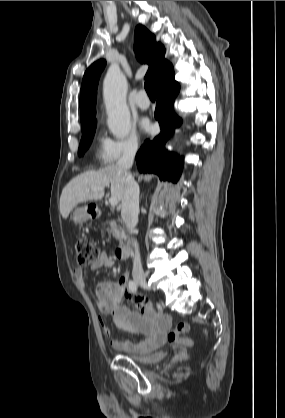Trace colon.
<instances>
[{"mask_svg": "<svg viewBox=\"0 0 285 418\" xmlns=\"http://www.w3.org/2000/svg\"><path fill=\"white\" fill-rule=\"evenodd\" d=\"M76 259L80 266H86L93 263L98 258V252L93 243L86 237L78 238L74 244ZM189 331V324L180 321L167 333L166 339L170 343L188 345L189 340L182 336Z\"/></svg>", "mask_w": 285, "mask_h": 418, "instance_id": "colon-1", "label": "colon"}]
</instances>
